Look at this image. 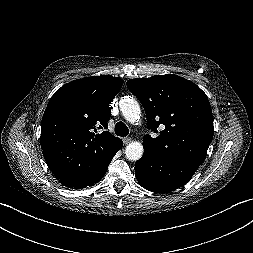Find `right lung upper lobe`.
Returning a JSON list of instances; mask_svg holds the SVG:
<instances>
[{
    "instance_id": "1",
    "label": "right lung upper lobe",
    "mask_w": 253,
    "mask_h": 253,
    "mask_svg": "<svg viewBox=\"0 0 253 253\" xmlns=\"http://www.w3.org/2000/svg\"><path fill=\"white\" fill-rule=\"evenodd\" d=\"M123 80L110 75L71 81L51 97L42 117L40 143L55 177L101 167L122 141L107 129L111 102Z\"/></svg>"
}]
</instances>
